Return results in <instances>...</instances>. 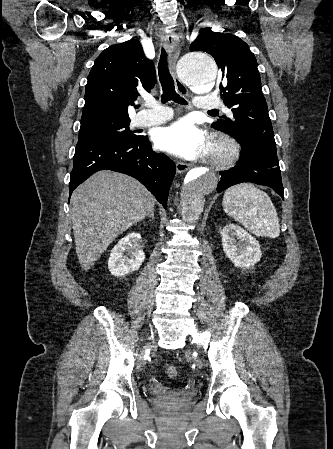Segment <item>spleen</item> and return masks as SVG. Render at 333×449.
Wrapping results in <instances>:
<instances>
[{
  "mask_svg": "<svg viewBox=\"0 0 333 449\" xmlns=\"http://www.w3.org/2000/svg\"><path fill=\"white\" fill-rule=\"evenodd\" d=\"M222 204L227 215L253 234L269 238L279 236L276 209L269 196L253 184L242 183L228 188Z\"/></svg>",
  "mask_w": 333,
  "mask_h": 449,
  "instance_id": "1",
  "label": "spleen"
}]
</instances>
